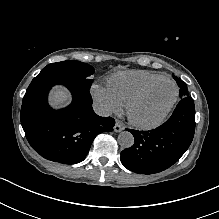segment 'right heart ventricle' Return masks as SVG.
Returning a JSON list of instances; mask_svg holds the SVG:
<instances>
[{
  "mask_svg": "<svg viewBox=\"0 0 219 219\" xmlns=\"http://www.w3.org/2000/svg\"><path fill=\"white\" fill-rule=\"evenodd\" d=\"M162 77L160 74L148 71H124L113 75L108 80V90L121 106L127 107L135 95Z\"/></svg>",
  "mask_w": 219,
  "mask_h": 219,
  "instance_id": "e07e8e85",
  "label": "right heart ventricle"
}]
</instances>
